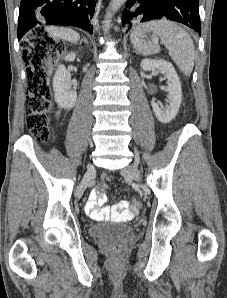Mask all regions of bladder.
<instances>
[{"mask_svg": "<svg viewBox=\"0 0 227 298\" xmlns=\"http://www.w3.org/2000/svg\"><path fill=\"white\" fill-rule=\"evenodd\" d=\"M132 226L125 223L104 222L89 227V235L94 238H118L129 234Z\"/></svg>", "mask_w": 227, "mask_h": 298, "instance_id": "1", "label": "bladder"}]
</instances>
